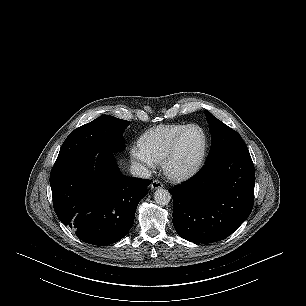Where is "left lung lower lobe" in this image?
<instances>
[{
	"mask_svg": "<svg viewBox=\"0 0 306 306\" xmlns=\"http://www.w3.org/2000/svg\"><path fill=\"white\" fill-rule=\"evenodd\" d=\"M255 171L249 152L207 162L194 177L172 189L173 225L195 243H213L231 235L250 215Z\"/></svg>",
	"mask_w": 306,
	"mask_h": 306,
	"instance_id": "left-lung-lower-lobe-1",
	"label": "left lung lower lobe"
}]
</instances>
